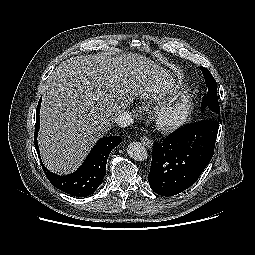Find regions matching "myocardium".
Wrapping results in <instances>:
<instances>
[{"label":"myocardium","instance_id":"f54148a6","mask_svg":"<svg viewBox=\"0 0 255 255\" xmlns=\"http://www.w3.org/2000/svg\"><path fill=\"white\" fill-rule=\"evenodd\" d=\"M192 112L188 98H181L161 106L156 114V125L163 132H172L184 125Z\"/></svg>","mask_w":255,"mask_h":255}]
</instances>
